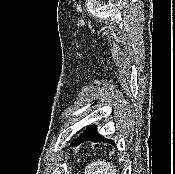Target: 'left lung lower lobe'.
Wrapping results in <instances>:
<instances>
[{
	"instance_id": "left-lung-lower-lobe-1",
	"label": "left lung lower lobe",
	"mask_w": 175,
	"mask_h": 174,
	"mask_svg": "<svg viewBox=\"0 0 175 174\" xmlns=\"http://www.w3.org/2000/svg\"><path fill=\"white\" fill-rule=\"evenodd\" d=\"M91 140L93 142H109L114 145V141L105 139L104 137H101L97 133V129L95 125L88 126L86 130L77 138L73 141L72 145H78L84 141Z\"/></svg>"
}]
</instances>
